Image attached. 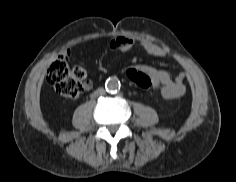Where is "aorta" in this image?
Masks as SVG:
<instances>
[{"instance_id": "1", "label": "aorta", "mask_w": 236, "mask_h": 182, "mask_svg": "<svg viewBox=\"0 0 236 182\" xmlns=\"http://www.w3.org/2000/svg\"><path fill=\"white\" fill-rule=\"evenodd\" d=\"M105 88L110 93H115L120 89V81L117 78H109L106 81Z\"/></svg>"}]
</instances>
